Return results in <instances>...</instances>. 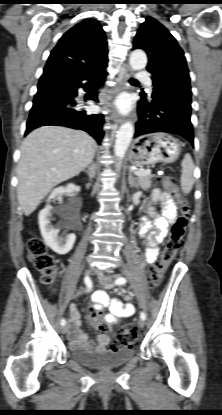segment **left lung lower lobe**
Returning a JSON list of instances; mask_svg holds the SVG:
<instances>
[{
    "label": "left lung lower lobe",
    "mask_w": 222,
    "mask_h": 415,
    "mask_svg": "<svg viewBox=\"0 0 222 415\" xmlns=\"http://www.w3.org/2000/svg\"><path fill=\"white\" fill-rule=\"evenodd\" d=\"M153 93L138 103L139 120L134 137L153 132L177 134L194 145L191 117L190 78L164 74L153 81Z\"/></svg>",
    "instance_id": "1"
}]
</instances>
